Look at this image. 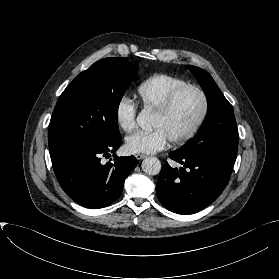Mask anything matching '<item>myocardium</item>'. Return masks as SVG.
Here are the masks:
<instances>
[{
  "label": "myocardium",
  "mask_w": 279,
  "mask_h": 279,
  "mask_svg": "<svg viewBox=\"0 0 279 279\" xmlns=\"http://www.w3.org/2000/svg\"><path fill=\"white\" fill-rule=\"evenodd\" d=\"M187 90L196 91L200 95V97L202 99V109H201V113H200L198 119L196 120V122L194 123V125L184 135H182L179 138L170 140L171 143L174 145H180V144H184V143L188 142L201 129L202 125L204 124V122L207 118L208 111H209V99H208L206 92L197 85L185 84L183 86H180V87L174 89L167 96V98L165 99L163 104L157 110H155V114H157V115H160V116L167 115L173 108V105H174L176 99L179 97V95Z\"/></svg>",
  "instance_id": "1"
}]
</instances>
